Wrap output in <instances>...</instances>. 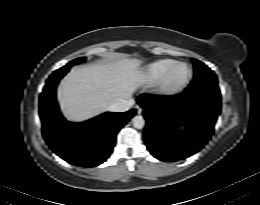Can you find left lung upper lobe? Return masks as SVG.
<instances>
[{"label":"left lung upper lobe","mask_w":260,"mask_h":205,"mask_svg":"<svg viewBox=\"0 0 260 205\" xmlns=\"http://www.w3.org/2000/svg\"><path fill=\"white\" fill-rule=\"evenodd\" d=\"M193 63L195 67L194 79L187 90L206 92L220 97L218 81L214 72L196 59H193Z\"/></svg>","instance_id":"5c2ea615"}]
</instances>
